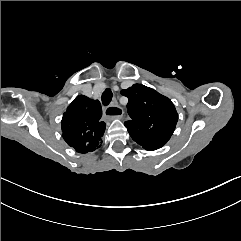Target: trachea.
Wrapping results in <instances>:
<instances>
[{
	"label": "trachea",
	"mask_w": 241,
	"mask_h": 241,
	"mask_svg": "<svg viewBox=\"0 0 241 241\" xmlns=\"http://www.w3.org/2000/svg\"><path fill=\"white\" fill-rule=\"evenodd\" d=\"M113 93L110 89H106L101 96V100L104 106H108L112 101Z\"/></svg>",
	"instance_id": "obj_1"
}]
</instances>
